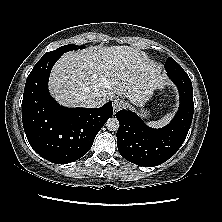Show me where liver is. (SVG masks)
<instances>
[{
  "label": "liver",
  "instance_id": "obj_1",
  "mask_svg": "<svg viewBox=\"0 0 222 222\" xmlns=\"http://www.w3.org/2000/svg\"><path fill=\"white\" fill-rule=\"evenodd\" d=\"M160 66L130 46L93 47L65 53L54 65L49 89L63 106H85L95 95L102 105L115 94L135 105L144 104L160 86Z\"/></svg>",
  "mask_w": 222,
  "mask_h": 222
}]
</instances>
